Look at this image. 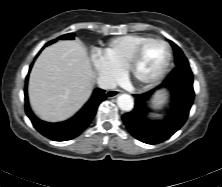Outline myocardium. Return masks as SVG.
Wrapping results in <instances>:
<instances>
[{
	"instance_id": "myocardium-1",
	"label": "myocardium",
	"mask_w": 222,
	"mask_h": 187,
	"mask_svg": "<svg viewBox=\"0 0 222 187\" xmlns=\"http://www.w3.org/2000/svg\"><path fill=\"white\" fill-rule=\"evenodd\" d=\"M154 41H158V42L163 43L168 50V56H167V61L165 63V66L163 67L161 72L152 79H149V80L137 79L135 77L136 66L140 61V58L142 56V53H143L145 47L149 43L154 42ZM172 58H173V51H172V47L168 41H166L165 39L160 38V37H149L148 39L144 40L141 44H139L137 46V48L134 50L133 54L131 55L129 61L126 64L124 71H125L127 78L130 79L135 84L140 85V86H145V87L153 86V85L157 84L158 82H160L163 79V77L166 75V73L168 72L169 67L171 65Z\"/></svg>"
}]
</instances>
